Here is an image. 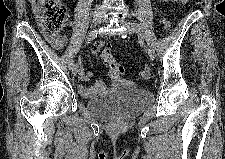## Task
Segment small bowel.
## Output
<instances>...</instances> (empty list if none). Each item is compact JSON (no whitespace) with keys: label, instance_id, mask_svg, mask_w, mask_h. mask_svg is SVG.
<instances>
[{"label":"small bowel","instance_id":"obj_1","mask_svg":"<svg viewBox=\"0 0 225 159\" xmlns=\"http://www.w3.org/2000/svg\"><path fill=\"white\" fill-rule=\"evenodd\" d=\"M35 12L38 14L39 10H38V5H35L34 7ZM45 37L48 40V42L53 46V48H55L56 50H61L63 45L61 43V40H64L65 43V36L61 35L58 37L55 36H50L48 34L45 33ZM105 46V43L102 41H98L96 42L93 47H92V51L93 52H97L99 51L101 48H103ZM111 76V75H110ZM111 78L115 81H119V79L114 78L111 76ZM91 79V73L89 71H81L79 74V80L81 82H87ZM103 86V82L102 81H97L93 86H86L84 84H80L78 86V91L81 94V96L88 98L91 97L93 94H95L98 90H100Z\"/></svg>","mask_w":225,"mask_h":159}]
</instances>
